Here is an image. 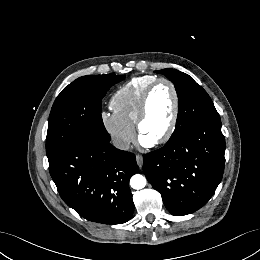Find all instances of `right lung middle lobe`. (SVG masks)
I'll list each match as a JSON object with an SVG mask.
<instances>
[{
  "label": "right lung middle lobe",
  "mask_w": 260,
  "mask_h": 260,
  "mask_svg": "<svg viewBox=\"0 0 260 260\" xmlns=\"http://www.w3.org/2000/svg\"><path fill=\"white\" fill-rule=\"evenodd\" d=\"M123 75H89L76 79L56 98L49 116L46 138L48 160L65 147L83 139L109 142L102 116V98Z\"/></svg>",
  "instance_id": "dd1d6c3e"
}]
</instances>
